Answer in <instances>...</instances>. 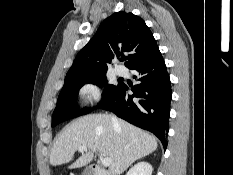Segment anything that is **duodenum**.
Masks as SVG:
<instances>
[{
	"label": "duodenum",
	"mask_w": 233,
	"mask_h": 175,
	"mask_svg": "<svg viewBox=\"0 0 233 175\" xmlns=\"http://www.w3.org/2000/svg\"><path fill=\"white\" fill-rule=\"evenodd\" d=\"M88 172L89 175H110L104 168L98 165H91Z\"/></svg>",
	"instance_id": "obj_1"
}]
</instances>
